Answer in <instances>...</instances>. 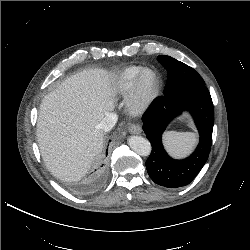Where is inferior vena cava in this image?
<instances>
[{"mask_svg":"<svg viewBox=\"0 0 250 250\" xmlns=\"http://www.w3.org/2000/svg\"><path fill=\"white\" fill-rule=\"evenodd\" d=\"M118 117L114 113H109L107 116H105L102 121L99 123L98 127L104 131L108 132L110 131L115 124L117 123Z\"/></svg>","mask_w":250,"mask_h":250,"instance_id":"inferior-vena-cava-1","label":"inferior vena cava"}]
</instances>
